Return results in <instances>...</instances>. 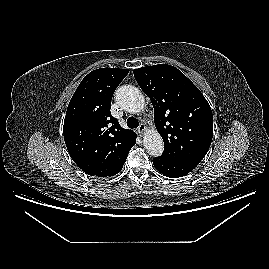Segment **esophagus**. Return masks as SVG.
Returning <instances> with one entry per match:
<instances>
[{
  "instance_id": "1",
  "label": "esophagus",
  "mask_w": 269,
  "mask_h": 269,
  "mask_svg": "<svg viewBox=\"0 0 269 269\" xmlns=\"http://www.w3.org/2000/svg\"><path fill=\"white\" fill-rule=\"evenodd\" d=\"M145 130L146 126L143 123H141L137 129L138 133L142 135L145 132Z\"/></svg>"
}]
</instances>
